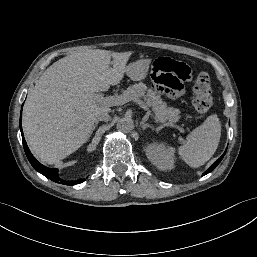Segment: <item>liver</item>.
<instances>
[{
	"instance_id": "liver-1",
	"label": "liver",
	"mask_w": 257,
	"mask_h": 257,
	"mask_svg": "<svg viewBox=\"0 0 257 257\" xmlns=\"http://www.w3.org/2000/svg\"><path fill=\"white\" fill-rule=\"evenodd\" d=\"M132 54L100 49L73 52L41 75L23 110L26 140L41 162L54 164L87 142L98 113L110 112L95 94L121 82Z\"/></svg>"
}]
</instances>
